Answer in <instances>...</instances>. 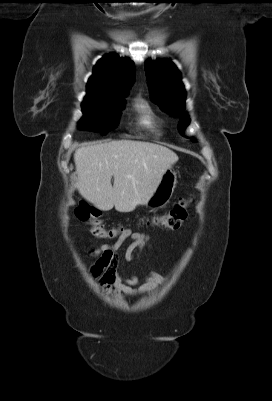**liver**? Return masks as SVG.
Instances as JSON below:
<instances>
[{
	"label": "liver",
	"instance_id": "6515ba94",
	"mask_svg": "<svg viewBox=\"0 0 272 401\" xmlns=\"http://www.w3.org/2000/svg\"><path fill=\"white\" fill-rule=\"evenodd\" d=\"M177 161L175 152L154 143H92L75 151L76 188L101 210L115 207L118 212H132L146 204L165 171Z\"/></svg>",
	"mask_w": 272,
	"mask_h": 401
}]
</instances>
